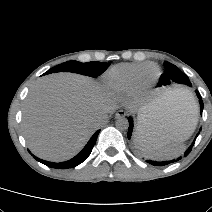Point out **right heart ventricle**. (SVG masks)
Wrapping results in <instances>:
<instances>
[{
	"mask_svg": "<svg viewBox=\"0 0 212 212\" xmlns=\"http://www.w3.org/2000/svg\"><path fill=\"white\" fill-rule=\"evenodd\" d=\"M157 72L158 68L152 63L119 64L106 73L105 83L115 93L130 92L141 86L143 75L151 78Z\"/></svg>",
	"mask_w": 212,
	"mask_h": 212,
	"instance_id": "obj_1",
	"label": "right heart ventricle"
}]
</instances>
